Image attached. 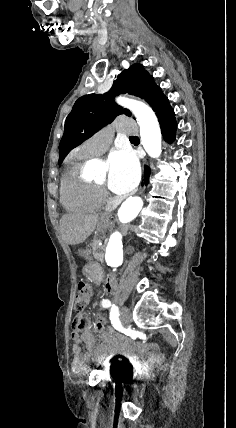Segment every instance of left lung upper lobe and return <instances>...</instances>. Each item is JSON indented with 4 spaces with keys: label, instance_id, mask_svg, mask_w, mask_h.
<instances>
[{
    "label": "left lung upper lobe",
    "instance_id": "left-lung-upper-lobe-1",
    "mask_svg": "<svg viewBox=\"0 0 236 428\" xmlns=\"http://www.w3.org/2000/svg\"><path fill=\"white\" fill-rule=\"evenodd\" d=\"M129 93L144 99L155 112L169 104L167 97L145 71L143 65L136 63L122 71L114 81L110 91L103 95L89 94L79 98L67 116L64 135L59 144V166L66 155L86 139L94 135L101 127L113 119L131 112L114 102V97Z\"/></svg>",
    "mask_w": 236,
    "mask_h": 428
}]
</instances>
